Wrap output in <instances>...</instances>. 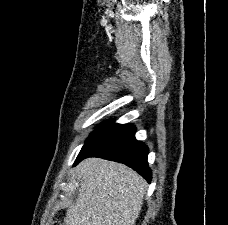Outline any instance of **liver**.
<instances>
[{
	"mask_svg": "<svg viewBox=\"0 0 228 225\" xmlns=\"http://www.w3.org/2000/svg\"><path fill=\"white\" fill-rule=\"evenodd\" d=\"M76 203L65 225H135L148 187L136 171L104 159H85L75 169Z\"/></svg>",
	"mask_w": 228,
	"mask_h": 225,
	"instance_id": "1",
	"label": "liver"
}]
</instances>
